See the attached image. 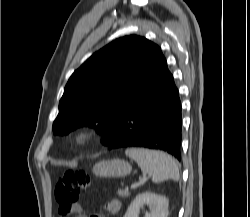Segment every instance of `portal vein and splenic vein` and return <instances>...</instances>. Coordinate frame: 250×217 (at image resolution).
<instances>
[{
    "label": "portal vein and splenic vein",
    "instance_id": "portal-vein-and-splenic-vein-1",
    "mask_svg": "<svg viewBox=\"0 0 250 217\" xmlns=\"http://www.w3.org/2000/svg\"><path fill=\"white\" fill-rule=\"evenodd\" d=\"M144 182V180H140L137 183H133L131 184L130 188H137L139 185H141ZM126 189H128V187H126Z\"/></svg>",
    "mask_w": 250,
    "mask_h": 217
}]
</instances>
